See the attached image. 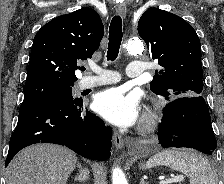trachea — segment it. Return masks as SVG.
<instances>
[{
  "mask_svg": "<svg viewBox=\"0 0 224 184\" xmlns=\"http://www.w3.org/2000/svg\"><path fill=\"white\" fill-rule=\"evenodd\" d=\"M122 36V19L117 15L112 18L109 26V43L107 51L108 60L113 61L118 57ZM84 70L85 68H82V71Z\"/></svg>",
  "mask_w": 224,
  "mask_h": 184,
  "instance_id": "3493384b",
  "label": "trachea"
}]
</instances>
